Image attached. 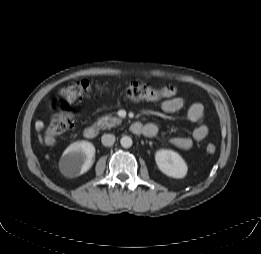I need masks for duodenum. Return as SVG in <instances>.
Returning <instances> with one entry per match:
<instances>
[{
  "label": "duodenum",
  "instance_id": "1",
  "mask_svg": "<svg viewBox=\"0 0 261 254\" xmlns=\"http://www.w3.org/2000/svg\"><path fill=\"white\" fill-rule=\"evenodd\" d=\"M131 130L135 134H143L144 128L139 122H135L131 125ZM84 136L87 139H94L98 135V130L95 126H88L84 129Z\"/></svg>",
  "mask_w": 261,
  "mask_h": 254
}]
</instances>
